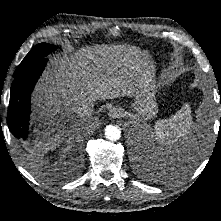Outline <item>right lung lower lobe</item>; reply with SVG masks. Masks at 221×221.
I'll return each mask as SVG.
<instances>
[{
    "instance_id": "right-lung-lower-lobe-1",
    "label": "right lung lower lobe",
    "mask_w": 221,
    "mask_h": 221,
    "mask_svg": "<svg viewBox=\"0 0 221 221\" xmlns=\"http://www.w3.org/2000/svg\"><path fill=\"white\" fill-rule=\"evenodd\" d=\"M47 58H41L13 75L7 122L10 132L18 139L28 137V121L30 117V96L35 83L41 75Z\"/></svg>"
}]
</instances>
